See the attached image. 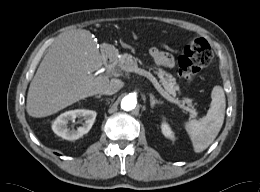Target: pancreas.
<instances>
[{"label": "pancreas", "mask_w": 260, "mask_h": 192, "mask_svg": "<svg viewBox=\"0 0 260 192\" xmlns=\"http://www.w3.org/2000/svg\"><path fill=\"white\" fill-rule=\"evenodd\" d=\"M138 63L142 64L138 58H135L134 56L125 53L121 55L118 62V67L120 70H125V68L129 66H138ZM154 69V73L158 76L160 83L165 89V92L175 97L176 91L179 90V86L176 84L175 78L172 76V74L166 72L162 68L154 67ZM186 102L190 103V100L187 99ZM189 111L191 113V117H194L196 115L194 109H189Z\"/></svg>", "instance_id": "cf45deb5"}]
</instances>
